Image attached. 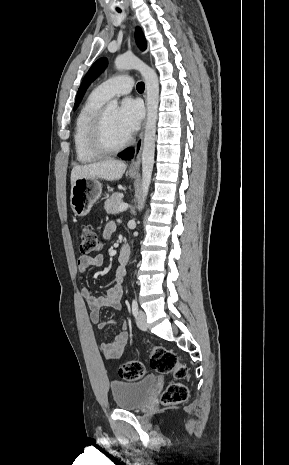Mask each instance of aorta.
Returning a JSON list of instances; mask_svg holds the SVG:
<instances>
[{
  "mask_svg": "<svg viewBox=\"0 0 289 465\" xmlns=\"http://www.w3.org/2000/svg\"><path fill=\"white\" fill-rule=\"evenodd\" d=\"M117 70L136 69L138 70L145 82L147 93V121L144 133V143L142 151V199L141 206L148 195L151 183L152 170L154 165L156 123L159 104V81L154 69L143 63L134 55H121L115 59ZM117 100H112L109 106L117 107Z\"/></svg>",
  "mask_w": 289,
  "mask_h": 465,
  "instance_id": "1",
  "label": "aorta"
}]
</instances>
